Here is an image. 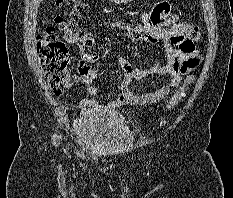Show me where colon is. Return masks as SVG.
<instances>
[{
    "label": "colon",
    "instance_id": "1",
    "mask_svg": "<svg viewBox=\"0 0 233 198\" xmlns=\"http://www.w3.org/2000/svg\"><path fill=\"white\" fill-rule=\"evenodd\" d=\"M57 5L63 8V19L56 16L53 21L47 23L36 37L37 54L51 90L55 94H61L72 82L73 76L70 70V58L65 43L56 36V29L61 30L68 42L88 46L91 44V34L79 29V20L83 4L82 0H57ZM200 39V30L197 26L187 25L186 41L184 47L187 50L194 49V42ZM199 56H190L175 64V68L182 75H187L182 87L176 91L167 102V108H173L183 97L185 88L192 82V71L199 65Z\"/></svg>",
    "mask_w": 233,
    "mask_h": 198
}]
</instances>
